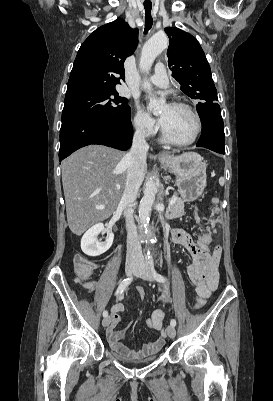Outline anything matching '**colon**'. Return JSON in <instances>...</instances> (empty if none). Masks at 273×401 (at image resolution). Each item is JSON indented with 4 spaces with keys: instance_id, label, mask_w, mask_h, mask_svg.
Masks as SVG:
<instances>
[{
    "instance_id": "obj_1",
    "label": "colon",
    "mask_w": 273,
    "mask_h": 401,
    "mask_svg": "<svg viewBox=\"0 0 273 401\" xmlns=\"http://www.w3.org/2000/svg\"><path fill=\"white\" fill-rule=\"evenodd\" d=\"M72 263L75 266L74 275L77 276V279L80 282L85 281L86 276H92L96 268L95 261H89L88 257H74ZM188 279L191 282H205L207 276L205 273H191L189 274ZM144 287L145 286L142 283L136 285L137 293L139 295L138 299L142 302L147 298Z\"/></svg>"
}]
</instances>
